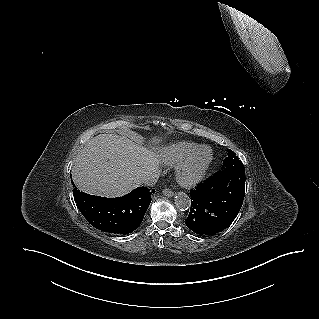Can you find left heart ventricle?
<instances>
[{
    "label": "left heart ventricle",
    "mask_w": 319,
    "mask_h": 319,
    "mask_svg": "<svg viewBox=\"0 0 319 319\" xmlns=\"http://www.w3.org/2000/svg\"><path fill=\"white\" fill-rule=\"evenodd\" d=\"M209 156V151L208 150H204L202 151V153L200 154L198 163H202L204 160H206Z\"/></svg>",
    "instance_id": "obj_1"
}]
</instances>
